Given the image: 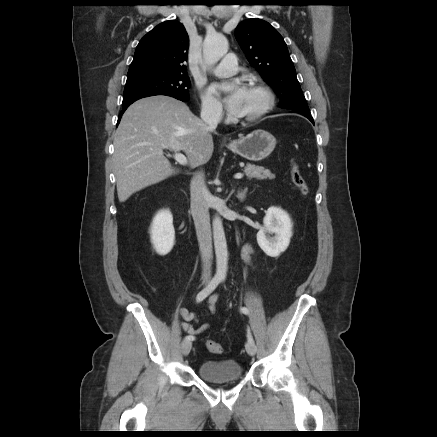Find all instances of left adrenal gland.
<instances>
[{"mask_svg":"<svg viewBox=\"0 0 437 437\" xmlns=\"http://www.w3.org/2000/svg\"><path fill=\"white\" fill-rule=\"evenodd\" d=\"M246 193H247V188H245L244 190H242L241 192H238L237 197L243 201L246 197Z\"/></svg>","mask_w":437,"mask_h":437,"instance_id":"obj_1","label":"left adrenal gland"}]
</instances>
